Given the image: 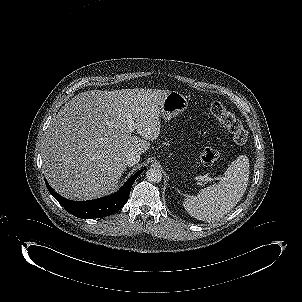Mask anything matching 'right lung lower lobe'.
<instances>
[{
    "label": "right lung lower lobe",
    "mask_w": 302,
    "mask_h": 302,
    "mask_svg": "<svg viewBox=\"0 0 302 302\" xmlns=\"http://www.w3.org/2000/svg\"><path fill=\"white\" fill-rule=\"evenodd\" d=\"M144 169L131 176L122 188L115 194L89 201H71L57 194L45 180L50 194L72 215L92 219L111 215L120 210L127 202L131 187Z\"/></svg>",
    "instance_id": "right-lung-lower-lobe-1"
}]
</instances>
